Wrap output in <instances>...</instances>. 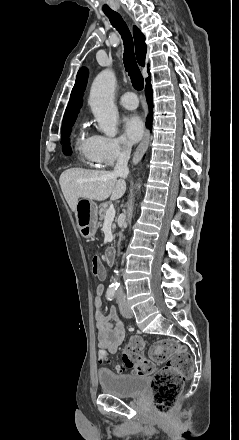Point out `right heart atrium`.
I'll list each match as a JSON object with an SVG mask.
<instances>
[{
	"label": "right heart atrium",
	"instance_id": "right-heart-atrium-1",
	"mask_svg": "<svg viewBox=\"0 0 239 440\" xmlns=\"http://www.w3.org/2000/svg\"><path fill=\"white\" fill-rule=\"evenodd\" d=\"M89 150L103 166H111L124 153V144L115 138L101 134L89 137Z\"/></svg>",
	"mask_w": 239,
	"mask_h": 440
}]
</instances>
